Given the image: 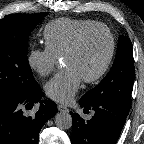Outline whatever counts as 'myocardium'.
Masks as SVG:
<instances>
[{
	"instance_id": "f54148a6",
	"label": "myocardium",
	"mask_w": 144,
	"mask_h": 144,
	"mask_svg": "<svg viewBox=\"0 0 144 144\" xmlns=\"http://www.w3.org/2000/svg\"><path fill=\"white\" fill-rule=\"evenodd\" d=\"M94 30H103L107 33V35L109 37V52H108L107 58L103 64V66L100 68V70L93 76L84 78V81L86 83H94V82H97L98 80H100L106 74V72L108 71V69L113 61V58L115 56V51H116V41H115V36H114L112 30L110 29V27L103 23H96V24L90 25L88 27H85L76 35V37L72 41L71 45L68 47V49L64 53V58H66L67 56H69V55L73 54L75 51H77V49L80 47L81 43L83 42L84 38L86 37V35Z\"/></svg>"
}]
</instances>
